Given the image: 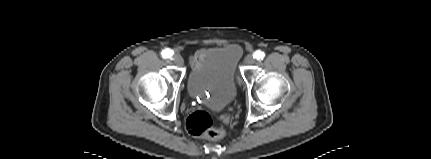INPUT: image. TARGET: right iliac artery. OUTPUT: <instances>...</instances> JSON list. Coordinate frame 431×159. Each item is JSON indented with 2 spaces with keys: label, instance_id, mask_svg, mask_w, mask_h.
I'll use <instances>...</instances> for the list:
<instances>
[{
  "label": "right iliac artery",
  "instance_id": "1",
  "mask_svg": "<svg viewBox=\"0 0 431 159\" xmlns=\"http://www.w3.org/2000/svg\"><path fill=\"white\" fill-rule=\"evenodd\" d=\"M162 57L163 58H170L174 54V52L171 49H165L162 51Z\"/></svg>",
  "mask_w": 431,
  "mask_h": 159
}]
</instances>
